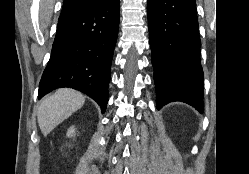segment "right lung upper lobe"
Wrapping results in <instances>:
<instances>
[{"label": "right lung upper lobe", "instance_id": "1", "mask_svg": "<svg viewBox=\"0 0 249 174\" xmlns=\"http://www.w3.org/2000/svg\"><path fill=\"white\" fill-rule=\"evenodd\" d=\"M111 0H64L60 17L68 16L81 9L97 6Z\"/></svg>", "mask_w": 249, "mask_h": 174}]
</instances>
